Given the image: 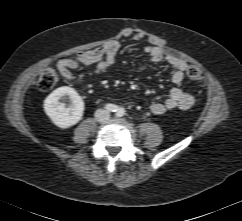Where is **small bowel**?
<instances>
[{"instance_id":"obj_1","label":"small bowel","mask_w":242,"mask_h":221,"mask_svg":"<svg viewBox=\"0 0 242 221\" xmlns=\"http://www.w3.org/2000/svg\"><path fill=\"white\" fill-rule=\"evenodd\" d=\"M122 36L132 38L135 41H141L145 38L143 32L132 29H124ZM120 48L121 41L113 39L95 49L80 53L76 58L60 59L56 66L61 76L69 82L77 83L89 78L100 77L115 64L116 55ZM144 51L149 55V59L138 71H143L149 63L166 62L173 69L172 82L175 85L169 89L167 98L163 102H153L151 104V112L155 115H163L175 109L187 110L191 108L195 101L193 95L180 88L187 63L181 58L165 53L152 42L144 46ZM80 65H94V68L89 72L75 74L73 71Z\"/></svg>"}]
</instances>
